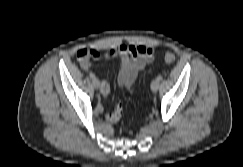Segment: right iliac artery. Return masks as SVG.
I'll use <instances>...</instances> for the list:
<instances>
[{
    "label": "right iliac artery",
    "instance_id": "82829eb1",
    "mask_svg": "<svg viewBox=\"0 0 243 167\" xmlns=\"http://www.w3.org/2000/svg\"><path fill=\"white\" fill-rule=\"evenodd\" d=\"M89 76L91 79H95V75L93 73H90Z\"/></svg>",
    "mask_w": 243,
    "mask_h": 167
}]
</instances>
